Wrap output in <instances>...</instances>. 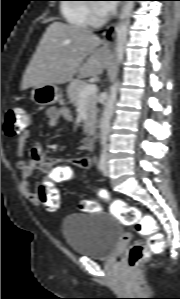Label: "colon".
Masks as SVG:
<instances>
[{
	"mask_svg": "<svg viewBox=\"0 0 180 299\" xmlns=\"http://www.w3.org/2000/svg\"><path fill=\"white\" fill-rule=\"evenodd\" d=\"M29 123L30 116L27 110L23 107H13L7 112L4 131L9 136H15L27 128ZM98 194L104 199H110V195L104 190H99ZM38 195L40 203L46 210L55 211L59 207L60 194L54 184L41 185ZM79 208L87 213L100 211V205L92 200L82 201ZM110 209L124 225L133 226L139 235L145 237V242L137 241L131 245L127 253L129 266L136 265L152 253H160L164 250V237L158 231V224L154 217L143 215L138 207L129 205L122 199H114Z\"/></svg>",
	"mask_w": 180,
	"mask_h": 299,
	"instance_id": "1",
	"label": "colon"
}]
</instances>
